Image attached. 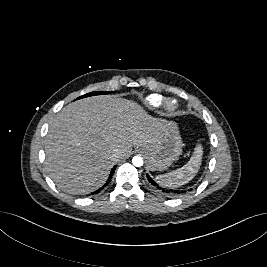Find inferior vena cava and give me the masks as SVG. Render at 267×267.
Here are the masks:
<instances>
[{
  "mask_svg": "<svg viewBox=\"0 0 267 267\" xmlns=\"http://www.w3.org/2000/svg\"><path fill=\"white\" fill-rule=\"evenodd\" d=\"M120 155H121L120 149H115L113 151V154H112L113 157L118 158Z\"/></svg>",
  "mask_w": 267,
  "mask_h": 267,
  "instance_id": "obj_1",
  "label": "inferior vena cava"
}]
</instances>
